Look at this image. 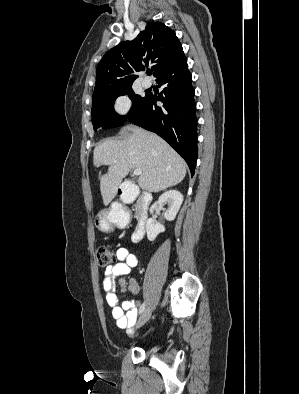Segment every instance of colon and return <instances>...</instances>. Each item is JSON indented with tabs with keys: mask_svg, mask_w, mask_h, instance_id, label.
Instances as JSON below:
<instances>
[{
	"mask_svg": "<svg viewBox=\"0 0 299 394\" xmlns=\"http://www.w3.org/2000/svg\"><path fill=\"white\" fill-rule=\"evenodd\" d=\"M97 262L100 266L105 267L113 264L116 260L114 251L106 245L98 246L96 249Z\"/></svg>",
	"mask_w": 299,
	"mask_h": 394,
	"instance_id": "colon-1",
	"label": "colon"
}]
</instances>
